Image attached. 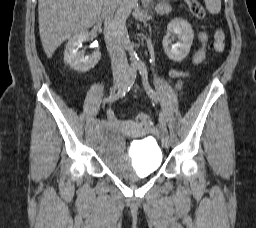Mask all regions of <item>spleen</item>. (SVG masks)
I'll list each match as a JSON object with an SVG mask.
<instances>
[{
    "label": "spleen",
    "instance_id": "obj_1",
    "mask_svg": "<svg viewBox=\"0 0 256 228\" xmlns=\"http://www.w3.org/2000/svg\"><path fill=\"white\" fill-rule=\"evenodd\" d=\"M206 9L211 14H218L221 10V0H204Z\"/></svg>",
    "mask_w": 256,
    "mask_h": 228
}]
</instances>
